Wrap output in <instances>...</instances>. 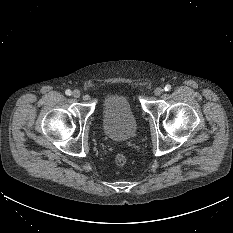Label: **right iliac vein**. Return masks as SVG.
Returning a JSON list of instances; mask_svg holds the SVG:
<instances>
[{"instance_id":"right-iliac-vein-1","label":"right iliac vein","mask_w":233,"mask_h":233,"mask_svg":"<svg viewBox=\"0 0 233 233\" xmlns=\"http://www.w3.org/2000/svg\"><path fill=\"white\" fill-rule=\"evenodd\" d=\"M72 95H73L74 98H79L80 95H81V93H80L79 90H74L73 93H72Z\"/></svg>"}]
</instances>
